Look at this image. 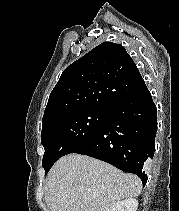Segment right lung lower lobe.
Masks as SVG:
<instances>
[{
    "label": "right lung lower lobe",
    "instance_id": "98d812e1",
    "mask_svg": "<svg viewBox=\"0 0 179 211\" xmlns=\"http://www.w3.org/2000/svg\"><path fill=\"white\" fill-rule=\"evenodd\" d=\"M157 110L143 82L117 102L98 133L72 153L105 161L147 182L148 161L154 156Z\"/></svg>",
    "mask_w": 179,
    "mask_h": 211
}]
</instances>
